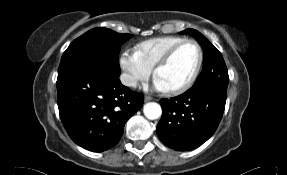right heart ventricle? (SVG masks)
<instances>
[{
	"label": "right heart ventricle",
	"instance_id": "right-heart-ventricle-1",
	"mask_svg": "<svg viewBox=\"0 0 287 175\" xmlns=\"http://www.w3.org/2000/svg\"><path fill=\"white\" fill-rule=\"evenodd\" d=\"M183 40L185 38L177 36L156 37L138 43L135 46V51L141 60L152 69L169 49Z\"/></svg>",
	"mask_w": 287,
	"mask_h": 175
}]
</instances>
